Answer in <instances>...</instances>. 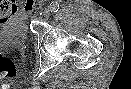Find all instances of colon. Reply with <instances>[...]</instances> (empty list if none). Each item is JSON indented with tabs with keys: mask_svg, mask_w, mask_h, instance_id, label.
<instances>
[{
	"mask_svg": "<svg viewBox=\"0 0 131 89\" xmlns=\"http://www.w3.org/2000/svg\"><path fill=\"white\" fill-rule=\"evenodd\" d=\"M20 50L0 51V79L14 78L18 73Z\"/></svg>",
	"mask_w": 131,
	"mask_h": 89,
	"instance_id": "obj_1",
	"label": "colon"
}]
</instances>
